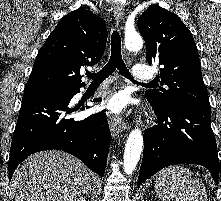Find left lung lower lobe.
Here are the masks:
<instances>
[{
    "label": "left lung lower lobe",
    "mask_w": 221,
    "mask_h": 201,
    "mask_svg": "<svg viewBox=\"0 0 221 201\" xmlns=\"http://www.w3.org/2000/svg\"><path fill=\"white\" fill-rule=\"evenodd\" d=\"M149 102L158 117V125L144 132L145 145L138 187L161 169L180 163L206 167L218 184L221 160L211 128L210 105L161 108Z\"/></svg>",
    "instance_id": "1"
}]
</instances>
